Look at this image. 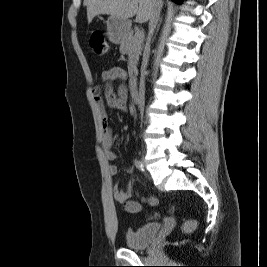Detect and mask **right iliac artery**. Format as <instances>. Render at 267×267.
<instances>
[{
    "label": "right iliac artery",
    "instance_id": "1",
    "mask_svg": "<svg viewBox=\"0 0 267 267\" xmlns=\"http://www.w3.org/2000/svg\"><path fill=\"white\" fill-rule=\"evenodd\" d=\"M134 164H135V166H136V168H137L138 170H140V171H144V165H143V163H142L140 160L135 159V160H134Z\"/></svg>",
    "mask_w": 267,
    "mask_h": 267
}]
</instances>
